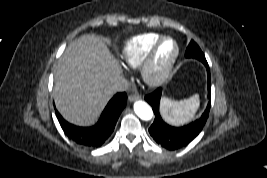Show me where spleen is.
<instances>
[{
    "label": "spleen",
    "instance_id": "1",
    "mask_svg": "<svg viewBox=\"0 0 267 178\" xmlns=\"http://www.w3.org/2000/svg\"><path fill=\"white\" fill-rule=\"evenodd\" d=\"M199 105L200 100L198 94L181 101L162 98L161 113L168 123L172 125H183L194 119Z\"/></svg>",
    "mask_w": 267,
    "mask_h": 178
}]
</instances>
